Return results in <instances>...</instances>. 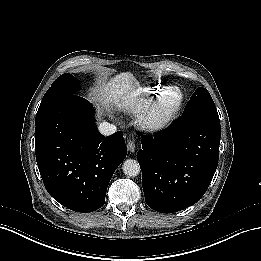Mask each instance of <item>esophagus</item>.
<instances>
[{
    "instance_id": "obj_1",
    "label": "esophagus",
    "mask_w": 261,
    "mask_h": 261,
    "mask_svg": "<svg viewBox=\"0 0 261 261\" xmlns=\"http://www.w3.org/2000/svg\"><path fill=\"white\" fill-rule=\"evenodd\" d=\"M127 149L129 152L135 151V142L133 140H129L127 143Z\"/></svg>"
}]
</instances>
